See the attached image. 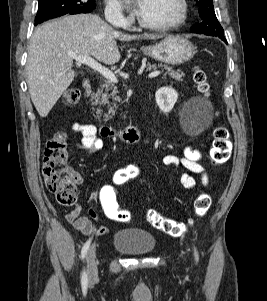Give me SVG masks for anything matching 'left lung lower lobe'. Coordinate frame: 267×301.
<instances>
[{"instance_id":"0a47b994","label":"left lung lower lobe","mask_w":267,"mask_h":301,"mask_svg":"<svg viewBox=\"0 0 267 301\" xmlns=\"http://www.w3.org/2000/svg\"><path fill=\"white\" fill-rule=\"evenodd\" d=\"M217 37L221 38L224 42H226L224 35H218Z\"/></svg>"}]
</instances>
